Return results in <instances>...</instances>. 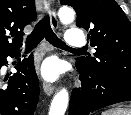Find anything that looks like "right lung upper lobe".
<instances>
[{"mask_svg":"<svg viewBox=\"0 0 131 115\" xmlns=\"http://www.w3.org/2000/svg\"><path fill=\"white\" fill-rule=\"evenodd\" d=\"M36 15L34 0H0V56L20 51L23 29Z\"/></svg>","mask_w":131,"mask_h":115,"instance_id":"cb5924a9","label":"right lung upper lobe"}]
</instances>
